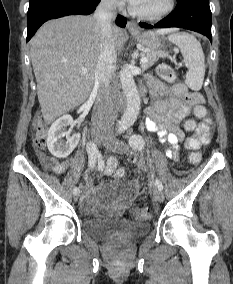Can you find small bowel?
Masks as SVG:
<instances>
[{
    "mask_svg": "<svg viewBox=\"0 0 233 284\" xmlns=\"http://www.w3.org/2000/svg\"><path fill=\"white\" fill-rule=\"evenodd\" d=\"M149 85L152 93L159 96L148 109V117L145 120L146 128L154 132L160 138L165 139L170 148L166 150V156L177 159L180 152V144L185 140V147L188 150H197L206 145L210 140L212 122L209 118L204 119L193 130V134L185 139L184 131L180 123L189 115L191 108L203 106V96L198 92L189 91L183 84H175L168 87L156 78H150ZM47 166L54 173L61 174L67 169V163L57 159L46 161ZM87 191L91 190V185L86 182ZM83 207L90 209L91 200L86 196L83 200Z\"/></svg>",
    "mask_w": 233,
    "mask_h": 284,
    "instance_id": "obj_1",
    "label": "small bowel"
}]
</instances>
